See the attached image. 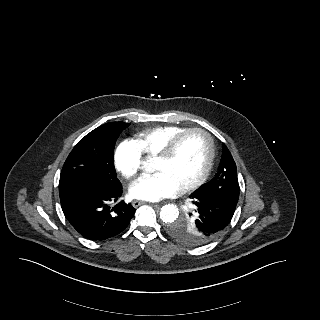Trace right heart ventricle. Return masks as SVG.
Returning a JSON list of instances; mask_svg holds the SVG:
<instances>
[{
  "mask_svg": "<svg viewBox=\"0 0 320 320\" xmlns=\"http://www.w3.org/2000/svg\"><path fill=\"white\" fill-rule=\"evenodd\" d=\"M186 129L178 125L157 126L138 133L133 141L142 155L155 158L176 135Z\"/></svg>",
  "mask_w": 320,
  "mask_h": 320,
  "instance_id": "obj_1",
  "label": "right heart ventricle"
}]
</instances>
